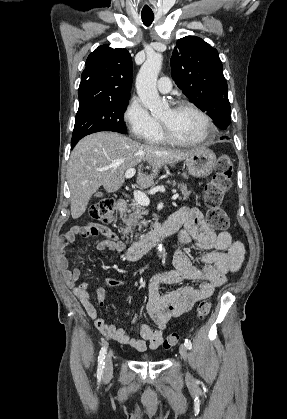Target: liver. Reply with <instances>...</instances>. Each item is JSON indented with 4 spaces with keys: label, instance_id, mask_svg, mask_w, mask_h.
<instances>
[{
    "label": "liver",
    "instance_id": "liver-1",
    "mask_svg": "<svg viewBox=\"0 0 287 419\" xmlns=\"http://www.w3.org/2000/svg\"><path fill=\"white\" fill-rule=\"evenodd\" d=\"M197 149L175 150L141 144L116 132H98L81 139L71 152L67 167L71 215L79 218L91 196L103 186L111 193L125 182V172L138 166L137 184L148 188L166 164L187 159ZM152 168L143 173V163Z\"/></svg>",
    "mask_w": 287,
    "mask_h": 419
}]
</instances>
